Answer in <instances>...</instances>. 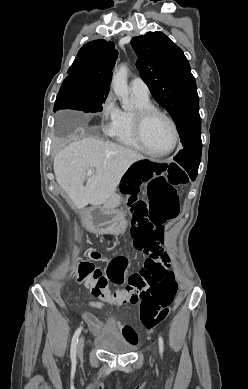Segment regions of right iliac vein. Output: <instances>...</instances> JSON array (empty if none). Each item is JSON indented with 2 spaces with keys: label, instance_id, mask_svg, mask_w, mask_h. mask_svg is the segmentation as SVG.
Wrapping results in <instances>:
<instances>
[{
  "label": "right iliac vein",
  "instance_id": "1",
  "mask_svg": "<svg viewBox=\"0 0 248 389\" xmlns=\"http://www.w3.org/2000/svg\"><path fill=\"white\" fill-rule=\"evenodd\" d=\"M83 347H84V338L81 337V338L79 339L78 348H77L78 355H81V354H82V352H83Z\"/></svg>",
  "mask_w": 248,
  "mask_h": 389
}]
</instances>
